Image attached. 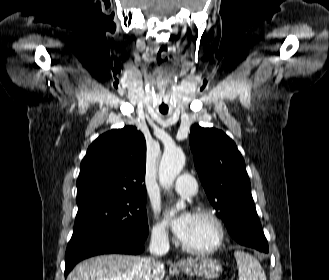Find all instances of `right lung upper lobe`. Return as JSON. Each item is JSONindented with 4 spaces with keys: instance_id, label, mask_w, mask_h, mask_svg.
<instances>
[{
    "instance_id": "1",
    "label": "right lung upper lobe",
    "mask_w": 329,
    "mask_h": 280,
    "mask_svg": "<svg viewBox=\"0 0 329 280\" xmlns=\"http://www.w3.org/2000/svg\"><path fill=\"white\" fill-rule=\"evenodd\" d=\"M146 142L133 126L113 129L88 148L77 179V199L90 196L146 197Z\"/></svg>"
}]
</instances>
